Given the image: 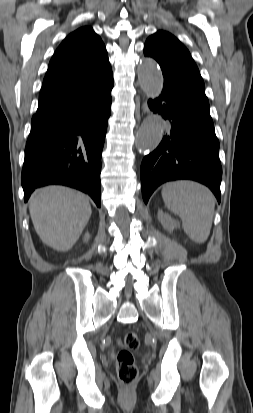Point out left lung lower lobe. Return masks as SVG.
I'll return each mask as SVG.
<instances>
[{
	"mask_svg": "<svg viewBox=\"0 0 253 413\" xmlns=\"http://www.w3.org/2000/svg\"><path fill=\"white\" fill-rule=\"evenodd\" d=\"M150 108L169 121V131L157 149L141 164L144 202L162 183L195 180L208 186L220 202L222 168L219 141L204 88L164 77L161 95L149 100Z\"/></svg>",
	"mask_w": 253,
	"mask_h": 413,
	"instance_id": "left-lung-lower-lobe-1",
	"label": "left lung lower lobe"
}]
</instances>
